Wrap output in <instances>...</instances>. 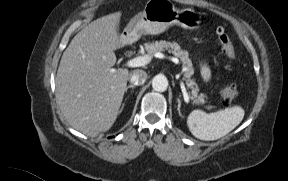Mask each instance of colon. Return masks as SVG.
Here are the masks:
<instances>
[{"label": "colon", "mask_w": 288, "mask_h": 181, "mask_svg": "<svg viewBox=\"0 0 288 181\" xmlns=\"http://www.w3.org/2000/svg\"><path fill=\"white\" fill-rule=\"evenodd\" d=\"M215 33L219 43L222 46L224 54L227 56L229 60H232L234 58L235 51L229 36L227 35V33L224 31L223 28H217L215 30ZM227 69L228 70L232 69L231 63L227 65ZM237 95L238 90L234 84L225 85L220 91V98L224 104L230 103Z\"/></svg>", "instance_id": "5ec220e1"}]
</instances>
